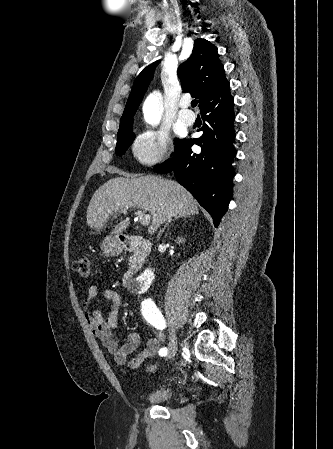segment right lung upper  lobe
Wrapping results in <instances>:
<instances>
[{
  "label": "right lung upper lobe",
  "mask_w": 333,
  "mask_h": 449,
  "mask_svg": "<svg viewBox=\"0 0 333 449\" xmlns=\"http://www.w3.org/2000/svg\"><path fill=\"white\" fill-rule=\"evenodd\" d=\"M159 62L145 67L135 79L120 122L133 120ZM177 73L183 90L199 99V107L229 88L217 48L205 39L195 40L191 56L179 66Z\"/></svg>",
  "instance_id": "cb5924a9"
}]
</instances>
